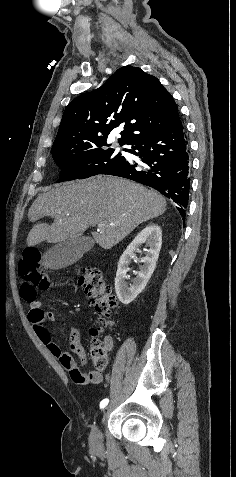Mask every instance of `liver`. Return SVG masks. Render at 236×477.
I'll return each mask as SVG.
<instances>
[{
  "label": "liver",
  "mask_w": 236,
  "mask_h": 477,
  "mask_svg": "<svg viewBox=\"0 0 236 477\" xmlns=\"http://www.w3.org/2000/svg\"><path fill=\"white\" fill-rule=\"evenodd\" d=\"M166 205L156 191L113 176L58 185L40 194L30 207L29 221L51 216L54 222L34 225L28 234L27 245L78 238L89 226L103 224L92 235L97 244L108 250L141 223L162 215Z\"/></svg>",
  "instance_id": "liver-1"
}]
</instances>
